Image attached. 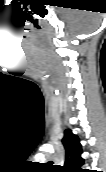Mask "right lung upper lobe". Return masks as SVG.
Returning <instances> with one entry per match:
<instances>
[{
	"instance_id": "1",
	"label": "right lung upper lobe",
	"mask_w": 106,
	"mask_h": 172,
	"mask_svg": "<svg viewBox=\"0 0 106 172\" xmlns=\"http://www.w3.org/2000/svg\"><path fill=\"white\" fill-rule=\"evenodd\" d=\"M66 151L64 172H83L80 166L84 164L83 158L80 156L82 153L81 144L78 137L72 133L70 129H66L64 132V138L62 139Z\"/></svg>"
}]
</instances>
